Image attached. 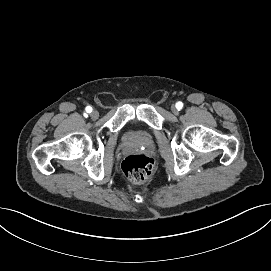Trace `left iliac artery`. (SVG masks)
<instances>
[{
    "label": "left iliac artery",
    "mask_w": 271,
    "mask_h": 271,
    "mask_svg": "<svg viewBox=\"0 0 271 271\" xmlns=\"http://www.w3.org/2000/svg\"><path fill=\"white\" fill-rule=\"evenodd\" d=\"M182 107H183V103L182 102H177L176 103V108L180 111L181 109H182Z\"/></svg>",
    "instance_id": "1"
}]
</instances>
